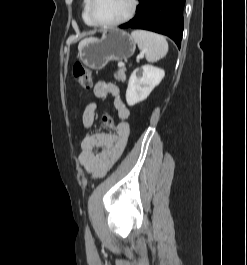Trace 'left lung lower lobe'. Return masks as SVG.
Wrapping results in <instances>:
<instances>
[{
  "mask_svg": "<svg viewBox=\"0 0 247 265\" xmlns=\"http://www.w3.org/2000/svg\"><path fill=\"white\" fill-rule=\"evenodd\" d=\"M136 16L121 28H138L169 36L181 45L185 0H139Z\"/></svg>",
  "mask_w": 247,
  "mask_h": 265,
  "instance_id": "left-lung-lower-lobe-1",
  "label": "left lung lower lobe"
}]
</instances>
